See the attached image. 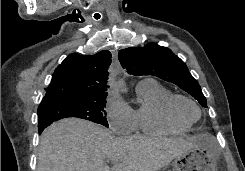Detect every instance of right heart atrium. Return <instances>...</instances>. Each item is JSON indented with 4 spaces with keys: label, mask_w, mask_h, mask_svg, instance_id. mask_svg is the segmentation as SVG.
I'll return each mask as SVG.
<instances>
[{
    "label": "right heart atrium",
    "mask_w": 245,
    "mask_h": 171,
    "mask_svg": "<svg viewBox=\"0 0 245 171\" xmlns=\"http://www.w3.org/2000/svg\"><path fill=\"white\" fill-rule=\"evenodd\" d=\"M105 113L113 132L129 134L136 129L133 110L114 91H110L107 96Z\"/></svg>",
    "instance_id": "1"
}]
</instances>
